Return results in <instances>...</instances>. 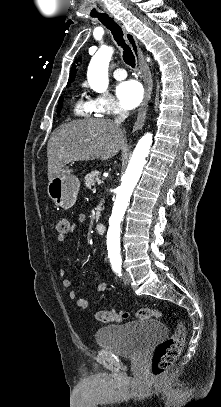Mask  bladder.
Masks as SVG:
<instances>
[{"label":"bladder","instance_id":"bladder-1","mask_svg":"<svg viewBox=\"0 0 221 407\" xmlns=\"http://www.w3.org/2000/svg\"><path fill=\"white\" fill-rule=\"evenodd\" d=\"M166 335L167 326L161 320H141L100 327L95 332V341L99 347L113 349L122 357L138 358L156 340Z\"/></svg>","mask_w":221,"mask_h":407}]
</instances>
